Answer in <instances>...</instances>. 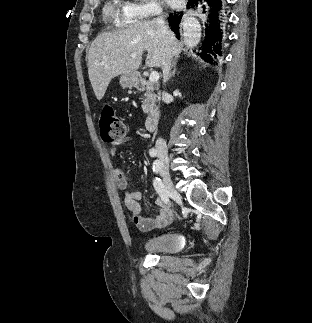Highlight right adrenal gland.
Wrapping results in <instances>:
<instances>
[{
  "instance_id": "obj_1",
  "label": "right adrenal gland",
  "mask_w": 312,
  "mask_h": 323,
  "mask_svg": "<svg viewBox=\"0 0 312 323\" xmlns=\"http://www.w3.org/2000/svg\"><path fill=\"white\" fill-rule=\"evenodd\" d=\"M177 60H178V58H175V60L173 62V68H174V70H173L172 74H170L169 80H171V78H174V76L176 74V62H177Z\"/></svg>"
}]
</instances>
